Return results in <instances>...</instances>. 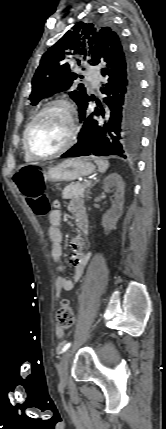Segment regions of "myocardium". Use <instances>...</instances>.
Returning a JSON list of instances; mask_svg holds the SVG:
<instances>
[{"instance_id": "myocardium-1", "label": "myocardium", "mask_w": 166, "mask_h": 429, "mask_svg": "<svg viewBox=\"0 0 166 429\" xmlns=\"http://www.w3.org/2000/svg\"><path fill=\"white\" fill-rule=\"evenodd\" d=\"M52 109H61L67 117V121H68L67 140L61 148H59L57 151L49 155H44V156L37 155L30 148L29 137L38 119L46 112ZM75 135H76V121H75V113H74L73 107L68 101L57 99L44 105L34 116V118L30 121L23 135V148L26 154L34 161H46V160L56 158L61 154L65 153L67 150H69L74 143Z\"/></svg>"}]
</instances>
